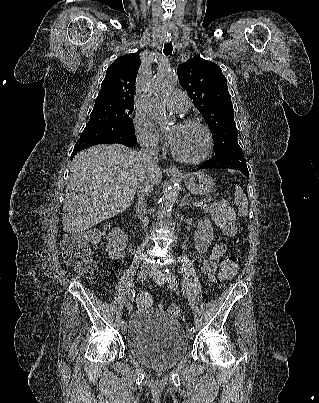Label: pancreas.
Masks as SVG:
<instances>
[{"instance_id": "1", "label": "pancreas", "mask_w": 319, "mask_h": 403, "mask_svg": "<svg viewBox=\"0 0 319 403\" xmlns=\"http://www.w3.org/2000/svg\"><path fill=\"white\" fill-rule=\"evenodd\" d=\"M201 210L204 211L205 213L208 212L209 206L207 204H203L200 206Z\"/></svg>"}]
</instances>
